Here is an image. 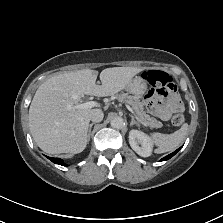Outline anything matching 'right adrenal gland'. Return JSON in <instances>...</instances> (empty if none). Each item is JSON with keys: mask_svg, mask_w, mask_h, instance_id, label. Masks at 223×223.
Here are the masks:
<instances>
[{"mask_svg": "<svg viewBox=\"0 0 223 223\" xmlns=\"http://www.w3.org/2000/svg\"><path fill=\"white\" fill-rule=\"evenodd\" d=\"M96 122H92L90 125H89V128H88V134H87V140L89 141L90 139V135H91V131H92V126L95 124Z\"/></svg>", "mask_w": 223, "mask_h": 223, "instance_id": "obj_1", "label": "right adrenal gland"}]
</instances>
